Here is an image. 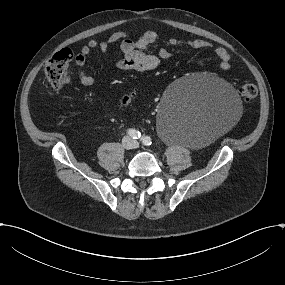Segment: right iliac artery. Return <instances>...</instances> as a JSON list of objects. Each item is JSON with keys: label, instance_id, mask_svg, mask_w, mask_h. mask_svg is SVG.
Instances as JSON below:
<instances>
[{"label": "right iliac artery", "instance_id": "obj_1", "mask_svg": "<svg viewBox=\"0 0 285 285\" xmlns=\"http://www.w3.org/2000/svg\"><path fill=\"white\" fill-rule=\"evenodd\" d=\"M127 134L132 138V139H139L141 137V133L136 130V129H129L127 131Z\"/></svg>", "mask_w": 285, "mask_h": 285}]
</instances>
